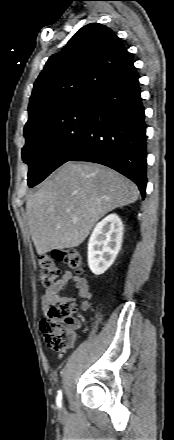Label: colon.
I'll use <instances>...</instances> for the list:
<instances>
[{
  "label": "colon",
  "instance_id": "obj_1",
  "mask_svg": "<svg viewBox=\"0 0 174 440\" xmlns=\"http://www.w3.org/2000/svg\"><path fill=\"white\" fill-rule=\"evenodd\" d=\"M56 262H64L77 273L82 272V258L74 249H56L39 257L40 279L43 286H50L57 281L59 271ZM75 305H62L51 308L41 321L40 328L46 345L56 351L70 348L75 341L76 323L73 313Z\"/></svg>",
  "mask_w": 174,
  "mask_h": 440
}]
</instances>
